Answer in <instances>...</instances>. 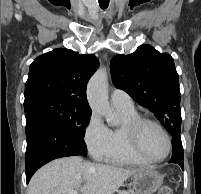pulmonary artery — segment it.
Listing matches in <instances>:
<instances>
[{
	"instance_id": "pulmonary-artery-1",
	"label": "pulmonary artery",
	"mask_w": 201,
	"mask_h": 194,
	"mask_svg": "<svg viewBox=\"0 0 201 194\" xmlns=\"http://www.w3.org/2000/svg\"><path fill=\"white\" fill-rule=\"evenodd\" d=\"M110 100L116 108H134L132 98L123 90L114 89L111 93Z\"/></svg>"
}]
</instances>
